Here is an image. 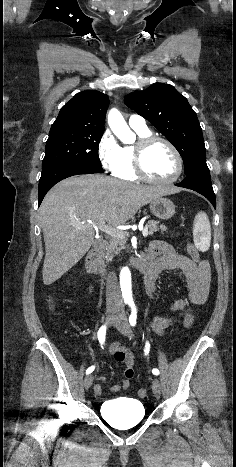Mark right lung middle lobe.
I'll return each instance as SVG.
<instances>
[{
	"label": "right lung middle lobe",
	"instance_id": "1",
	"mask_svg": "<svg viewBox=\"0 0 236 467\" xmlns=\"http://www.w3.org/2000/svg\"><path fill=\"white\" fill-rule=\"evenodd\" d=\"M103 132L66 127L51 128L42 169L59 163H77L102 173L98 145Z\"/></svg>",
	"mask_w": 236,
	"mask_h": 467
}]
</instances>
